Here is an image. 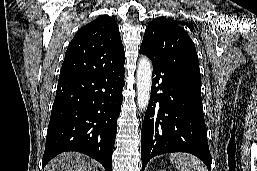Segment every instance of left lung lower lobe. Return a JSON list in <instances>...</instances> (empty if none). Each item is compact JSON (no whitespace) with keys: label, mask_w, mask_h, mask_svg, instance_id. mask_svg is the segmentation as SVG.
I'll list each match as a JSON object with an SVG mask.
<instances>
[{"label":"left lung lower lobe","mask_w":257,"mask_h":171,"mask_svg":"<svg viewBox=\"0 0 257 171\" xmlns=\"http://www.w3.org/2000/svg\"><path fill=\"white\" fill-rule=\"evenodd\" d=\"M152 63L151 98L141 131L143 170L152 157L172 152L191 153L210 170L201 80L171 62Z\"/></svg>","instance_id":"obj_1"}]
</instances>
